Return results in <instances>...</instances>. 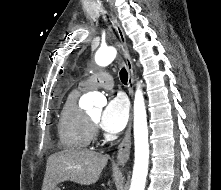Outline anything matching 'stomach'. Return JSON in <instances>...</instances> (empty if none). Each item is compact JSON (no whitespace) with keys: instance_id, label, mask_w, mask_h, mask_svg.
Instances as JSON below:
<instances>
[{"instance_id":"1","label":"stomach","mask_w":221,"mask_h":190,"mask_svg":"<svg viewBox=\"0 0 221 190\" xmlns=\"http://www.w3.org/2000/svg\"><path fill=\"white\" fill-rule=\"evenodd\" d=\"M54 190H61V189L57 187V188H55Z\"/></svg>"}]
</instances>
